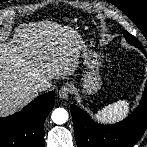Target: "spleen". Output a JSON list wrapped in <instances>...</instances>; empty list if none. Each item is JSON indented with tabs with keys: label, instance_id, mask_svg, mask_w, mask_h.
Instances as JSON below:
<instances>
[{
	"label": "spleen",
	"instance_id": "3e777b00",
	"mask_svg": "<svg viewBox=\"0 0 147 147\" xmlns=\"http://www.w3.org/2000/svg\"><path fill=\"white\" fill-rule=\"evenodd\" d=\"M127 111V102L119 100L107 106H104L100 111L99 115L108 120H115L121 118Z\"/></svg>",
	"mask_w": 147,
	"mask_h": 147
}]
</instances>
